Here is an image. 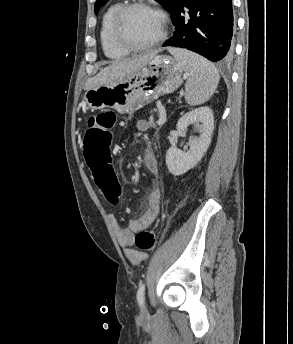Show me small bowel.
Segmentation results:
<instances>
[{"label":"small bowel","mask_w":293,"mask_h":344,"mask_svg":"<svg viewBox=\"0 0 293 344\" xmlns=\"http://www.w3.org/2000/svg\"><path fill=\"white\" fill-rule=\"evenodd\" d=\"M120 126H122L120 124ZM138 128L142 131L148 128V123L141 121ZM146 169L153 175L158 174L159 167L152 149L148 146L143 157ZM161 192L156 185L148 195V208L144 215L138 219H133L129 222L126 228H122L115 215H111V221L114 226L116 236L120 246L124 249L125 256L134 265L143 262L147 255L139 250L132 248L134 244V234L140 230L148 228L156 219L160 208Z\"/></svg>","instance_id":"small-bowel-1"}]
</instances>
